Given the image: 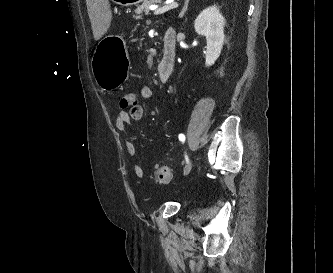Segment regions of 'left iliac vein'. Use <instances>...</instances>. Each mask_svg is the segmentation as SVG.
<instances>
[{
    "instance_id": "left-iliac-vein-1",
    "label": "left iliac vein",
    "mask_w": 333,
    "mask_h": 273,
    "mask_svg": "<svg viewBox=\"0 0 333 273\" xmlns=\"http://www.w3.org/2000/svg\"><path fill=\"white\" fill-rule=\"evenodd\" d=\"M192 165H193V160L191 159V160L189 161V163H188V165H187L185 171H184V174H188V173H189V171H190L191 168H192Z\"/></svg>"
}]
</instances>
